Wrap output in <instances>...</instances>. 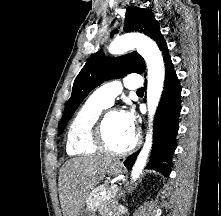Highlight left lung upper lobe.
<instances>
[{"label":"left lung upper lobe","mask_w":221,"mask_h":216,"mask_svg":"<svg viewBox=\"0 0 221 216\" xmlns=\"http://www.w3.org/2000/svg\"><path fill=\"white\" fill-rule=\"evenodd\" d=\"M124 30L144 33L155 40L159 47L166 42L157 20L148 9L138 7L127 9ZM144 71V59L137 52L114 59L106 58L101 51L92 55L74 81L71 97L58 126V135L63 132L73 113L94 88L108 79L121 78L129 73L140 74Z\"/></svg>","instance_id":"5c2ea615"}]
</instances>
